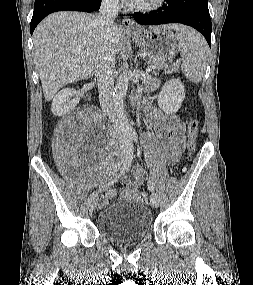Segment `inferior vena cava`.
I'll return each mask as SVG.
<instances>
[{"instance_id":"602c4592","label":"inferior vena cava","mask_w":253,"mask_h":285,"mask_svg":"<svg viewBox=\"0 0 253 285\" xmlns=\"http://www.w3.org/2000/svg\"><path fill=\"white\" fill-rule=\"evenodd\" d=\"M119 0H102L94 23L99 29L101 46L98 50L95 73L98 81L99 101L103 112L116 123L114 105L115 51L112 48L111 29L118 16Z\"/></svg>"}]
</instances>
